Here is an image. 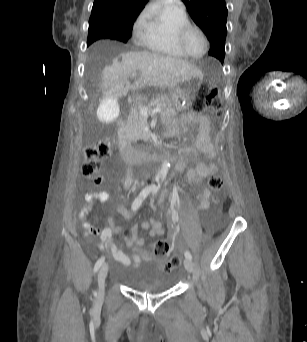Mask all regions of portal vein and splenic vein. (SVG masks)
I'll return each mask as SVG.
<instances>
[{
  "label": "portal vein and splenic vein",
  "mask_w": 307,
  "mask_h": 342,
  "mask_svg": "<svg viewBox=\"0 0 307 342\" xmlns=\"http://www.w3.org/2000/svg\"><path fill=\"white\" fill-rule=\"evenodd\" d=\"M137 74H131V78H136ZM136 107L138 109H141L140 115L142 117H148V106L147 105H143L141 102H138L136 104ZM157 112H162L161 108H155V110H151V114H157Z\"/></svg>",
  "instance_id": "1"
}]
</instances>
